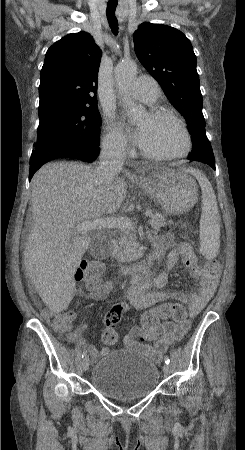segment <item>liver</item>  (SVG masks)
<instances>
[{"instance_id": "obj_1", "label": "liver", "mask_w": 245, "mask_h": 450, "mask_svg": "<svg viewBox=\"0 0 245 450\" xmlns=\"http://www.w3.org/2000/svg\"><path fill=\"white\" fill-rule=\"evenodd\" d=\"M126 193L123 177L107 184L91 166L74 162L48 163L34 175L33 224L24 265L50 311L58 313L69 306L74 297V275L91 244L90 236L75 235L73 228L116 213Z\"/></svg>"}]
</instances>
